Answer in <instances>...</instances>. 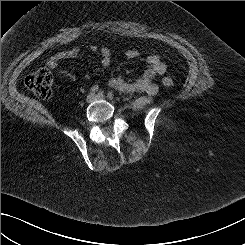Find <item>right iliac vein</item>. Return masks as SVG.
<instances>
[{
	"instance_id": "obj_1",
	"label": "right iliac vein",
	"mask_w": 245,
	"mask_h": 245,
	"mask_svg": "<svg viewBox=\"0 0 245 245\" xmlns=\"http://www.w3.org/2000/svg\"><path fill=\"white\" fill-rule=\"evenodd\" d=\"M95 100V95L93 93H90L87 98H86V102L87 103H91Z\"/></svg>"
}]
</instances>
